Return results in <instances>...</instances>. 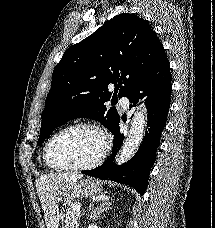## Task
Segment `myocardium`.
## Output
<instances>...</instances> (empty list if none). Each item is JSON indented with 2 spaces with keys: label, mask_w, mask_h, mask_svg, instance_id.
<instances>
[{
  "label": "myocardium",
  "mask_w": 215,
  "mask_h": 228,
  "mask_svg": "<svg viewBox=\"0 0 215 228\" xmlns=\"http://www.w3.org/2000/svg\"><path fill=\"white\" fill-rule=\"evenodd\" d=\"M75 128H88V129L95 130L97 133H99L103 139V149H102L101 153L93 161L83 164V165L60 166V165L54 164L50 159V149H51L53 142L61 134L65 133L69 130L75 129ZM110 149H111L110 139H109L108 135L106 134V132L99 125L91 123V122H75V123L69 124V125L61 128L48 139V141L46 142L44 149H43V159H44L45 164L50 169L80 172V171L90 170V169L96 168L99 165H101L105 161L107 155L109 154Z\"/></svg>",
  "instance_id": "obj_1"
}]
</instances>
